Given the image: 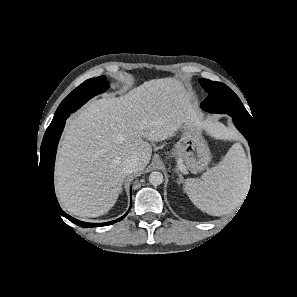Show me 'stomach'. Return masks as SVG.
Here are the masks:
<instances>
[{
    "mask_svg": "<svg viewBox=\"0 0 297 297\" xmlns=\"http://www.w3.org/2000/svg\"><path fill=\"white\" fill-rule=\"evenodd\" d=\"M170 158L190 172L206 169L211 161V152L201 128L193 123H185L182 136L171 150Z\"/></svg>",
    "mask_w": 297,
    "mask_h": 297,
    "instance_id": "obj_1",
    "label": "stomach"
}]
</instances>
